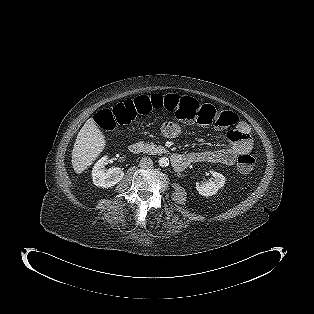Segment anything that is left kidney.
<instances>
[{"mask_svg": "<svg viewBox=\"0 0 314 314\" xmlns=\"http://www.w3.org/2000/svg\"><path fill=\"white\" fill-rule=\"evenodd\" d=\"M214 177V180L207 183H196V189L198 193L202 196L208 197L215 195L218 190L225 184V176L221 173L210 171Z\"/></svg>", "mask_w": 314, "mask_h": 314, "instance_id": "left-kidney-1", "label": "left kidney"}]
</instances>
